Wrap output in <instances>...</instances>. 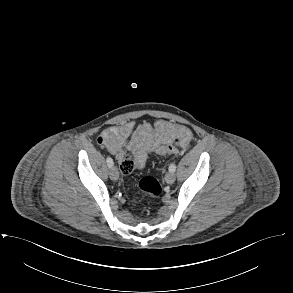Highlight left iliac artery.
<instances>
[{"label": "left iliac artery", "instance_id": "44dca946", "mask_svg": "<svg viewBox=\"0 0 293 293\" xmlns=\"http://www.w3.org/2000/svg\"><path fill=\"white\" fill-rule=\"evenodd\" d=\"M175 170H176V165H175V163H171L170 166H169V171H170V172H175Z\"/></svg>", "mask_w": 293, "mask_h": 293}]
</instances>
